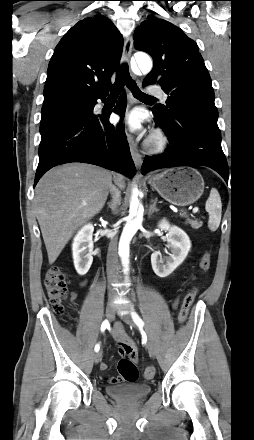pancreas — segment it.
<instances>
[{
    "label": "pancreas",
    "instance_id": "pancreas-1",
    "mask_svg": "<svg viewBox=\"0 0 254 440\" xmlns=\"http://www.w3.org/2000/svg\"><path fill=\"white\" fill-rule=\"evenodd\" d=\"M188 223H189V224L191 225V227L194 228V229H198V228H200V227L202 226V222H198V221L190 220V221H188Z\"/></svg>",
    "mask_w": 254,
    "mask_h": 440
}]
</instances>
